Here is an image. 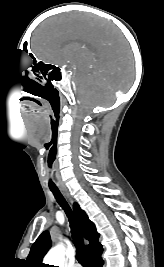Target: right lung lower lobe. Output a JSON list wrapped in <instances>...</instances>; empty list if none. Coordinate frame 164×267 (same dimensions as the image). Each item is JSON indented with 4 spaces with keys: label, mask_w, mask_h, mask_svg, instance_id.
Masks as SVG:
<instances>
[{
    "label": "right lung lower lobe",
    "mask_w": 164,
    "mask_h": 267,
    "mask_svg": "<svg viewBox=\"0 0 164 267\" xmlns=\"http://www.w3.org/2000/svg\"><path fill=\"white\" fill-rule=\"evenodd\" d=\"M102 251H98L91 256L87 257L89 267H102L103 260L101 258Z\"/></svg>",
    "instance_id": "1"
}]
</instances>
